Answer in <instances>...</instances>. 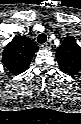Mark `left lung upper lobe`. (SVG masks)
Here are the masks:
<instances>
[{
  "label": "left lung upper lobe",
  "instance_id": "left-lung-upper-lobe-1",
  "mask_svg": "<svg viewBox=\"0 0 81 124\" xmlns=\"http://www.w3.org/2000/svg\"><path fill=\"white\" fill-rule=\"evenodd\" d=\"M56 59L62 72L72 77L81 73V47L74 37H67L57 48Z\"/></svg>",
  "mask_w": 81,
  "mask_h": 124
}]
</instances>
